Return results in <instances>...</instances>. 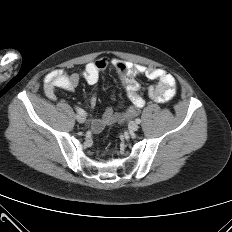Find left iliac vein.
<instances>
[{
    "label": "left iliac vein",
    "instance_id": "left-iliac-vein-1",
    "mask_svg": "<svg viewBox=\"0 0 232 232\" xmlns=\"http://www.w3.org/2000/svg\"><path fill=\"white\" fill-rule=\"evenodd\" d=\"M138 128H139V126H138V124H137L136 122L131 121V122L129 123V129H130L131 131H137Z\"/></svg>",
    "mask_w": 232,
    "mask_h": 232
}]
</instances>
